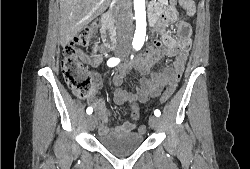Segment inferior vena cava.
I'll return each instance as SVG.
<instances>
[{"instance_id":"1","label":"inferior vena cava","mask_w":250,"mask_h":169,"mask_svg":"<svg viewBox=\"0 0 250 169\" xmlns=\"http://www.w3.org/2000/svg\"><path fill=\"white\" fill-rule=\"evenodd\" d=\"M132 0H118L115 22L118 34L133 28Z\"/></svg>"}]
</instances>
